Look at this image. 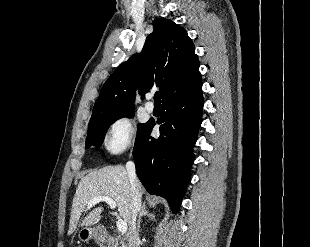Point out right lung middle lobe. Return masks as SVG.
Wrapping results in <instances>:
<instances>
[{"mask_svg":"<svg viewBox=\"0 0 310 247\" xmlns=\"http://www.w3.org/2000/svg\"><path fill=\"white\" fill-rule=\"evenodd\" d=\"M134 116V110L126 111L117 115L112 116H105L99 118L88 125V134L86 138V147L89 148L90 146H97L99 147L106 134L108 127L115 122L116 120L128 117L131 118ZM145 124H139L137 134L141 131Z\"/></svg>","mask_w":310,"mask_h":247,"instance_id":"obj_1","label":"right lung middle lobe"}]
</instances>
